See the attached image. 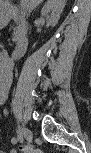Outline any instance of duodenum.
<instances>
[{"label": "duodenum", "mask_w": 91, "mask_h": 153, "mask_svg": "<svg viewBox=\"0 0 91 153\" xmlns=\"http://www.w3.org/2000/svg\"><path fill=\"white\" fill-rule=\"evenodd\" d=\"M26 12L25 8H21L19 12H15L16 19L21 24V34L18 43L16 44L15 48L13 49L11 53L12 59H19L21 58L27 51L30 38H29V32H30V25L28 21L24 17V13Z\"/></svg>", "instance_id": "duodenum-1"}]
</instances>
